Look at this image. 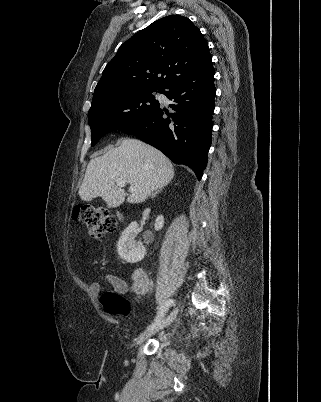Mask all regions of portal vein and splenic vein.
I'll list each match as a JSON object with an SVG mask.
<instances>
[{
    "label": "portal vein and splenic vein",
    "mask_w": 321,
    "mask_h": 402,
    "mask_svg": "<svg viewBox=\"0 0 321 402\" xmlns=\"http://www.w3.org/2000/svg\"><path fill=\"white\" fill-rule=\"evenodd\" d=\"M126 180L125 179H121V178H119V179H117L116 180V184L119 186V187H125L126 186ZM129 191L130 192H134L135 191V187H130L129 188Z\"/></svg>",
    "instance_id": "portal-vein-and-splenic-vein-1"
}]
</instances>
